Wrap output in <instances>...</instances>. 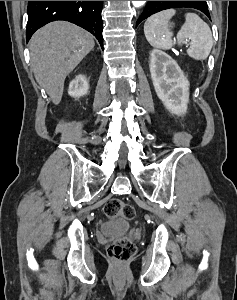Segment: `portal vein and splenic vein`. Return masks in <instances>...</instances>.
<instances>
[{
	"label": "portal vein and splenic vein",
	"mask_w": 237,
	"mask_h": 300,
	"mask_svg": "<svg viewBox=\"0 0 237 300\" xmlns=\"http://www.w3.org/2000/svg\"><path fill=\"white\" fill-rule=\"evenodd\" d=\"M184 43H188V41H184Z\"/></svg>",
	"instance_id": "obj_1"
}]
</instances>
